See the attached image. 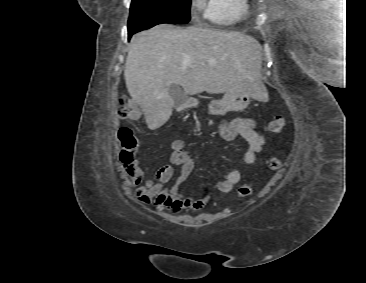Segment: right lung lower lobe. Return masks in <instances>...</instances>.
I'll list each match as a JSON object with an SVG mask.
<instances>
[{
    "mask_svg": "<svg viewBox=\"0 0 366 283\" xmlns=\"http://www.w3.org/2000/svg\"><path fill=\"white\" fill-rule=\"evenodd\" d=\"M133 34H134L133 32H128V36H129V38H130Z\"/></svg>",
    "mask_w": 366,
    "mask_h": 283,
    "instance_id": "1",
    "label": "right lung lower lobe"
}]
</instances>
